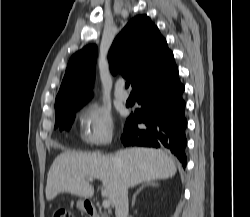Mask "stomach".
<instances>
[{
    "mask_svg": "<svg viewBox=\"0 0 250 217\" xmlns=\"http://www.w3.org/2000/svg\"><path fill=\"white\" fill-rule=\"evenodd\" d=\"M86 200L85 199H79L76 203L77 208L82 212H87V209L85 207Z\"/></svg>",
    "mask_w": 250,
    "mask_h": 217,
    "instance_id": "1",
    "label": "stomach"
}]
</instances>
